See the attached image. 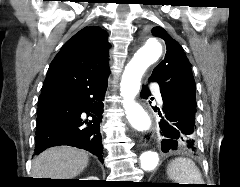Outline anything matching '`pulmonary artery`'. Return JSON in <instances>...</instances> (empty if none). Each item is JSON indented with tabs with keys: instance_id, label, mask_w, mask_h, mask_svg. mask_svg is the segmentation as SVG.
<instances>
[{
	"instance_id": "e3ab8cb5",
	"label": "pulmonary artery",
	"mask_w": 240,
	"mask_h": 187,
	"mask_svg": "<svg viewBox=\"0 0 240 187\" xmlns=\"http://www.w3.org/2000/svg\"><path fill=\"white\" fill-rule=\"evenodd\" d=\"M151 88L153 90H156V91L158 90V87H157L156 84H152ZM156 97H157L158 102L161 103L162 102V98H161L160 94H157Z\"/></svg>"
}]
</instances>
